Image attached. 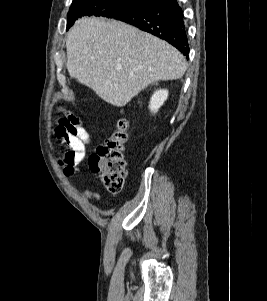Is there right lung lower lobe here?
I'll list each match as a JSON object with an SVG mask.
<instances>
[{
    "label": "right lung lower lobe",
    "instance_id": "right-lung-lower-lobe-1",
    "mask_svg": "<svg viewBox=\"0 0 267 301\" xmlns=\"http://www.w3.org/2000/svg\"><path fill=\"white\" fill-rule=\"evenodd\" d=\"M114 19L134 25L166 40L188 59L187 30L182 10L176 0H156L136 10L120 13Z\"/></svg>",
    "mask_w": 267,
    "mask_h": 301
}]
</instances>
